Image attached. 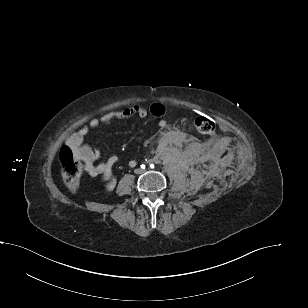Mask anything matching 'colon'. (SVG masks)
<instances>
[{
    "label": "colon",
    "instance_id": "obj_1",
    "mask_svg": "<svg viewBox=\"0 0 308 308\" xmlns=\"http://www.w3.org/2000/svg\"><path fill=\"white\" fill-rule=\"evenodd\" d=\"M194 125L202 134L214 135L216 133V123L209 116H198L194 120ZM59 161L65 185L69 190L76 191L79 187L83 169L80 161L75 157L73 150L69 146H63L60 149Z\"/></svg>",
    "mask_w": 308,
    "mask_h": 308
}]
</instances>
